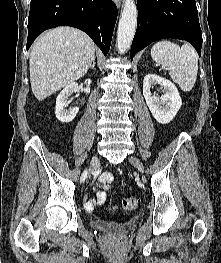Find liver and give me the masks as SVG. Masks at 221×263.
<instances>
[{
  "mask_svg": "<svg viewBox=\"0 0 221 263\" xmlns=\"http://www.w3.org/2000/svg\"><path fill=\"white\" fill-rule=\"evenodd\" d=\"M95 60L92 39L72 27H57L39 37L29 59L31 89L42 101L83 77Z\"/></svg>",
  "mask_w": 221,
  "mask_h": 263,
  "instance_id": "obj_1",
  "label": "liver"
}]
</instances>
